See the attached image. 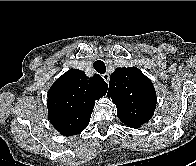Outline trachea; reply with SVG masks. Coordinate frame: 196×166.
I'll return each instance as SVG.
<instances>
[{
  "label": "trachea",
  "instance_id": "trachea-1",
  "mask_svg": "<svg viewBox=\"0 0 196 166\" xmlns=\"http://www.w3.org/2000/svg\"><path fill=\"white\" fill-rule=\"evenodd\" d=\"M94 68L95 70L100 73V74H104L106 72V66H105V63L101 60H97L95 63H94Z\"/></svg>",
  "mask_w": 196,
  "mask_h": 166
}]
</instances>
